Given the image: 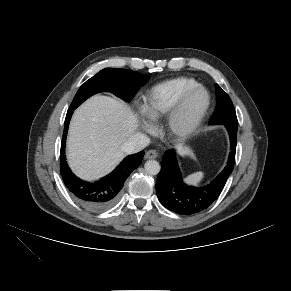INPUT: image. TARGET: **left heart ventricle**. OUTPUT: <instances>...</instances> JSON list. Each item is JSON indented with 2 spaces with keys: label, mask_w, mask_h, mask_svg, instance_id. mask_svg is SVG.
<instances>
[{
  "label": "left heart ventricle",
  "mask_w": 291,
  "mask_h": 291,
  "mask_svg": "<svg viewBox=\"0 0 291 291\" xmlns=\"http://www.w3.org/2000/svg\"><path fill=\"white\" fill-rule=\"evenodd\" d=\"M205 102V95L203 92H197L187 103L185 110L182 114L181 122L187 123L192 120L197 113L201 110Z\"/></svg>",
  "instance_id": "b2bd125f"
}]
</instances>
